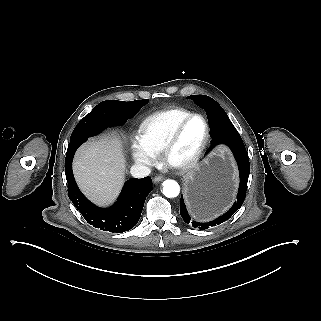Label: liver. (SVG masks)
Here are the masks:
<instances>
[{
    "label": "liver",
    "instance_id": "liver-1",
    "mask_svg": "<svg viewBox=\"0 0 321 321\" xmlns=\"http://www.w3.org/2000/svg\"><path fill=\"white\" fill-rule=\"evenodd\" d=\"M120 141L119 137H116ZM125 165L108 137L82 146L74 160V173L82 190L97 202L110 201L122 184Z\"/></svg>",
    "mask_w": 321,
    "mask_h": 321
}]
</instances>
